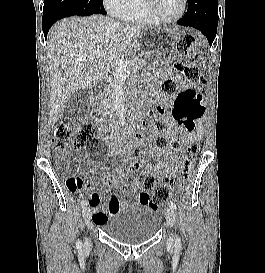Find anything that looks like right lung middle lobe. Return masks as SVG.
<instances>
[{
	"label": "right lung middle lobe",
	"mask_w": 265,
	"mask_h": 273,
	"mask_svg": "<svg viewBox=\"0 0 265 273\" xmlns=\"http://www.w3.org/2000/svg\"><path fill=\"white\" fill-rule=\"evenodd\" d=\"M70 11L78 15L106 14L103 0H44L43 15Z\"/></svg>",
	"instance_id": "right-lung-middle-lobe-1"
}]
</instances>
